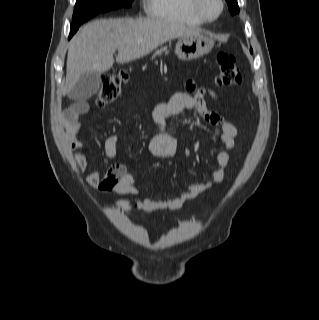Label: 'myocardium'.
<instances>
[{"label": "myocardium", "mask_w": 319, "mask_h": 320, "mask_svg": "<svg viewBox=\"0 0 319 320\" xmlns=\"http://www.w3.org/2000/svg\"><path fill=\"white\" fill-rule=\"evenodd\" d=\"M218 3H219V10L217 14L212 17H210L203 9V0H190V7L193 13L196 15V17H198L203 22L211 23L219 19L224 11V8H225L224 0H218Z\"/></svg>", "instance_id": "f54148a6"}]
</instances>
